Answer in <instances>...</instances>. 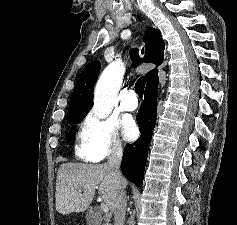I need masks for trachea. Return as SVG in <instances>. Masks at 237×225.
Returning <instances> with one entry per match:
<instances>
[{
	"label": "trachea",
	"instance_id": "obj_1",
	"mask_svg": "<svg viewBox=\"0 0 237 225\" xmlns=\"http://www.w3.org/2000/svg\"><path fill=\"white\" fill-rule=\"evenodd\" d=\"M142 53H143V50H142ZM145 84H146L145 77H141L140 79H138L136 84H135V92L140 97H143V92H144Z\"/></svg>",
	"mask_w": 237,
	"mask_h": 225
}]
</instances>
